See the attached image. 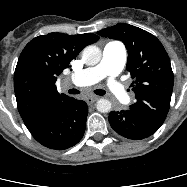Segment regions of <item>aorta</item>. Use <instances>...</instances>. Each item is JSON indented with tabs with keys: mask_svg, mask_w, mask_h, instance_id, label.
Listing matches in <instances>:
<instances>
[{
	"mask_svg": "<svg viewBox=\"0 0 187 187\" xmlns=\"http://www.w3.org/2000/svg\"><path fill=\"white\" fill-rule=\"evenodd\" d=\"M101 56V50L95 45H89L82 51V60L89 66L98 64ZM96 107L99 112L107 113L111 110V102L105 98H101L97 101Z\"/></svg>",
	"mask_w": 187,
	"mask_h": 187,
	"instance_id": "1",
	"label": "aorta"
}]
</instances>
